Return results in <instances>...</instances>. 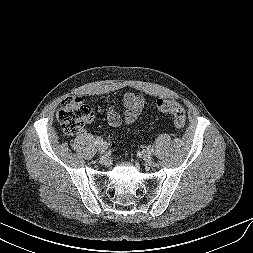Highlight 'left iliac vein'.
Returning <instances> with one entry per match:
<instances>
[{"label": "left iliac vein", "instance_id": "obj_1", "mask_svg": "<svg viewBox=\"0 0 253 253\" xmlns=\"http://www.w3.org/2000/svg\"><path fill=\"white\" fill-rule=\"evenodd\" d=\"M142 158H143V160H144L147 164H149V165L152 164V154H151V152H149V151H147V150H144V151L142 152Z\"/></svg>", "mask_w": 253, "mask_h": 253}]
</instances>
